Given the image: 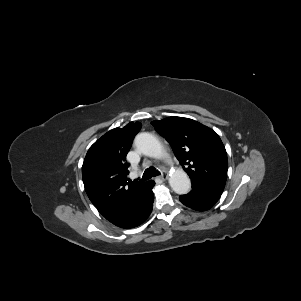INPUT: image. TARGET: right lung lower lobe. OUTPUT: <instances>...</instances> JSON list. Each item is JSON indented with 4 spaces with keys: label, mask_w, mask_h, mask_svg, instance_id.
<instances>
[{
    "label": "right lung lower lobe",
    "mask_w": 301,
    "mask_h": 301,
    "mask_svg": "<svg viewBox=\"0 0 301 301\" xmlns=\"http://www.w3.org/2000/svg\"><path fill=\"white\" fill-rule=\"evenodd\" d=\"M154 181L146 182L139 198L137 199L131 212L118 224L121 228H134L141 225L150 215L154 194L152 188Z\"/></svg>",
    "instance_id": "98d812e1"
}]
</instances>
